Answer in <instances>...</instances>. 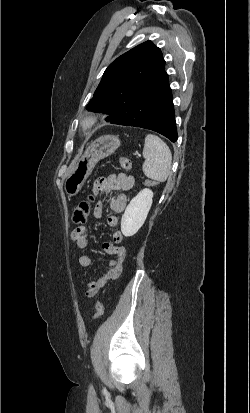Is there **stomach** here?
Returning a JSON list of instances; mask_svg holds the SVG:
<instances>
[{"label":"stomach","mask_w":250,"mask_h":413,"mask_svg":"<svg viewBox=\"0 0 250 413\" xmlns=\"http://www.w3.org/2000/svg\"><path fill=\"white\" fill-rule=\"evenodd\" d=\"M118 136L104 135L92 142L77 161L64 182V191L68 197L77 195L82 189L95 165L111 155L120 146Z\"/></svg>","instance_id":"obj_1"}]
</instances>
